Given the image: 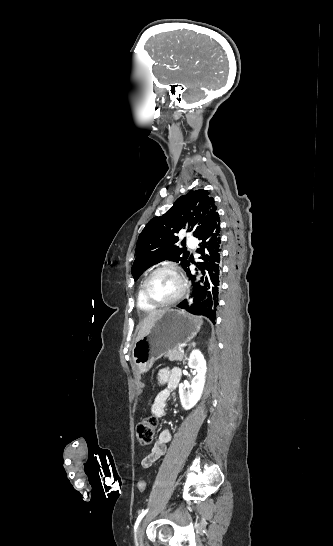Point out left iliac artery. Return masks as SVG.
<instances>
[{
  "label": "left iliac artery",
  "instance_id": "44dca946",
  "mask_svg": "<svg viewBox=\"0 0 333 546\" xmlns=\"http://www.w3.org/2000/svg\"><path fill=\"white\" fill-rule=\"evenodd\" d=\"M148 512V509H145L144 511H142V513L138 516L137 520H136V523L134 525V531H135V539H136V530H137V527L140 523V521L142 520V518L145 516V514Z\"/></svg>",
  "mask_w": 333,
  "mask_h": 546
}]
</instances>
